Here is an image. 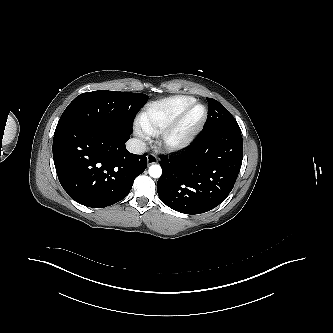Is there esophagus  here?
Segmentation results:
<instances>
[{
  "mask_svg": "<svg viewBox=\"0 0 333 333\" xmlns=\"http://www.w3.org/2000/svg\"><path fill=\"white\" fill-rule=\"evenodd\" d=\"M157 162H158V159H157L156 155H154L153 153H150L147 155V163L149 165L155 164Z\"/></svg>",
  "mask_w": 333,
  "mask_h": 333,
  "instance_id": "esophagus-1",
  "label": "esophagus"
}]
</instances>
